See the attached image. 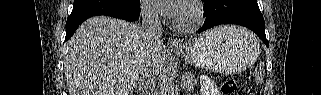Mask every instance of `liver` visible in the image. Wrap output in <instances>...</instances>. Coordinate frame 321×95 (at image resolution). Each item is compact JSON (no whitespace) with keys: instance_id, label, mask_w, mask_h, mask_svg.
<instances>
[{"instance_id":"liver-1","label":"liver","mask_w":321,"mask_h":95,"mask_svg":"<svg viewBox=\"0 0 321 95\" xmlns=\"http://www.w3.org/2000/svg\"><path fill=\"white\" fill-rule=\"evenodd\" d=\"M166 54L163 44L147 42L134 23L105 16L90 18L64 47L69 95H130L145 69L159 74Z\"/></svg>"}]
</instances>
